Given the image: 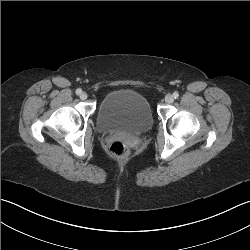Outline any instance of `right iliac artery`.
Returning a JSON list of instances; mask_svg holds the SVG:
<instances>
[{
    "label": "right iliac artery",
    "instance_id": "obj_1",
    "mask_svg": "<svg viewBox=\"0 0 250 250\" xmlns=\"http://www.w3.org/2000/svg\"><path fill=\"white\" fill-rule=\"evenodd\" d=\"M81 93H82V90L80 88L76 90L77 95H80Z\"/></svg>",
    "mask_w": 250,
    "mask_h": 250
}]
</instances>
